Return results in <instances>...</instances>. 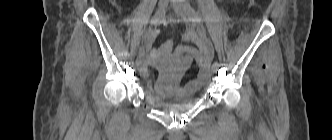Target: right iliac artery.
I'll return each mask as SVG.
<instances>
[{"label": "right iliac artery", "instance_id": "82829eb1", "mask_svg": "<svg viewBox=\"0 0 332 140\" xmlns=\"http://www.w3.org/2000/svg\"><path fill=\"white\" fill-rule=\"evenodd\" d=\"M163 16H164V11L162 12L158 11L150 20V26L144 32L141 39V45L144 49L146 50L148 49V43L153 35V26L159 24L162 21Z\"/></svg>", "mask_w": 332, "mask_h": 140}]
</instances>
